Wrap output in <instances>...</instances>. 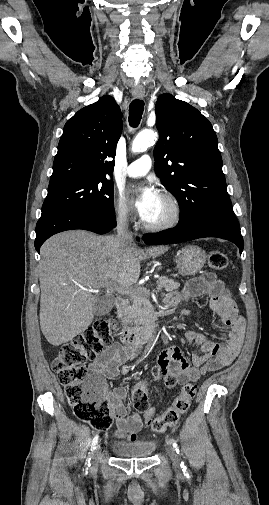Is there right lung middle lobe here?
<instances>
[{
    "label": "right lung middle lobe",
    "mask_w": 269,
    "mask_h": 505,
    "mask_svg": "<svg viewBox=\"0 0 269 505\" xmlns=\"http://www.w3.org/2000/svg\"><path fill=\"white\" fill-rule=\"evenodd\" d=\"M113 183L107 179L88 180L48 188L42 212L70 208L115 224Z\"/></svg>",
    "instance_id": "obj_1"
}]
</instances>
